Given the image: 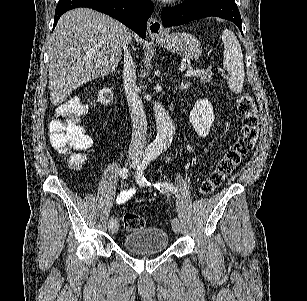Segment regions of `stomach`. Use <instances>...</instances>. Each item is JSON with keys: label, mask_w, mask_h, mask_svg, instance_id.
Wrapping results in <instances>:
<instances>
[{"label": "stomach", "mask_w": 307, "mask_h": 301, "mask_svg": "<svg viewBox=\"0 0 307 301\" xmlns=\"http://www.w3.org/2000/svg\"><path fill=\"white\" fill-rule=\"evenodd\" d=\"M151 38L170 52L187 56L192 60H196L202 54L201 42L198 38H195L194 34H189V32H171V34L164 32L160 36H151Z\"/></svg>", "instance_id": "0dacf381"}]
</instances>
